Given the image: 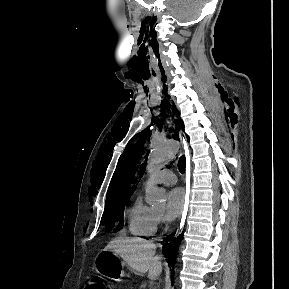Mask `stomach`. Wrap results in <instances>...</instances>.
Wrapping results in <instances>:
<instances>
[{
    "instance_id": "obj_1",
    "label": "stomach",
    "mask_w": 289,
    "mask_h": 289,
    "mask_svg": "<svg viewBox=\"0 0 289 289\" xmlns=\"http://www.w3.org/2000/svg\"><path fill=\"white\" fill-rule=\"evenodd\" d=\"M122 265L123 262H119V255L110 250L101 251L95 258L96 272L112 280H118L124 275Z\"/></svg>"
}]
</instances>
